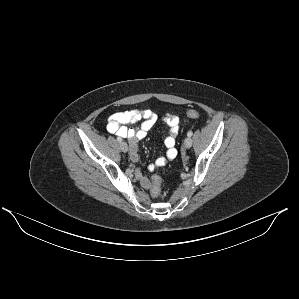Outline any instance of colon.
<instances>
[{
	"label": "colon",
	"instance_id": "colon-1",
	"mask_svg": "<svg viewBox=\"0 0 299 299\" xmlns=\"http://www.w3.org/2000/svg\"><path fill=\"white\" fill-rule=\"evenodd\" d=\"M187 117L195 119L199 117V112L197 110H189L186 113ZM161 192V178L159 176L152 177V187L151 194L154 197H158Z\"/></svg>",
	"mask_w": 299,
	"mask_h": 299
}]
</instances>
